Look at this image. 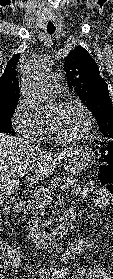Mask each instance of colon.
Segmentation results:
<instances>
[{"label": "colon", "mask_w": 113, "mask_h": 279, "mask_svg": "<svg viewBox=\"0 0 113 279\" xmlns=\"http://www.w3.org/2000/svg\"><path fill=\"white\" fill-rule=\"evenodd\" d=\"M102 163L98 169V182L102 192L113 195V144L105 145L102 148ZM3 253L0 255V277L5 267L10 265L13 260L20 258L17 249L6 250L0 245Z\"/></svg>", "instance_id": "obj_1"}]
</instances>
